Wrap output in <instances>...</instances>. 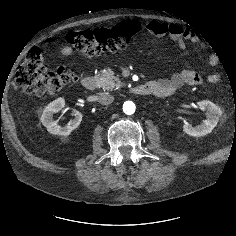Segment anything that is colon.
Masks as SVG:
<instances>
[{
  "label": "colon",
  "instance_id": "colon-1",
  "mask_svg": "<svg viewBox=\"0 0 236 236\" xmlns=\"http://www.w3.org/2000/svg\"><path fill=\"white\" fill-rule=\"evenodd\" d=\"M139 30L136 21H124L112 27H99L66 33L63 39L74 49L99 55L126 47ZM75 79V74L63 68L49 71L40 49L33 48L16 73L18 85L27 93L48 97L58 93Z\"/></svg>",
  "mask_w": 236,
  "mask_h": 236
}]
</instances>
